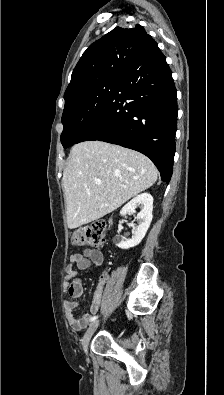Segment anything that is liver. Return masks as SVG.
I'll return each mask as SVG.
<instances>
[{
    "label": "liver",
    "mask_w": 224,
    "mask_h": 395,
    "mask_svg": "<svg viewBox=\"0 0 224 395\" xmlns=\"http://www.w3.org/2000/svg\"><path fill=\"white\" fill-rule=\"evenodd\" d=\"M157 178L151 160L134 150L102 141L76 144L62 178L68 227L74 229L113 212Z\"/></svg>",
    "instance_id": "6515ba94"
}]
</instances>
